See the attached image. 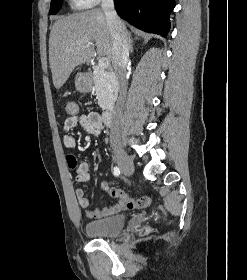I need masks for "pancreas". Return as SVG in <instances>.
<instances>
[{
    "label": "pancreas",
    "mask_w": 247,
    "mask_h": 280,
    "mask_svg": "<svg viewBox=\"0 0 247 280\" xmlns=\"http://www.w3.org/2000/svg\"><path fill=\"white\" fill-rule=\"evenodd\" d=\"M95 93L98 105L102 109L108 108L116 95V84L110 72L101 68L94 69Z\"/></svg>",
    "instance_id": "pancreas-1"
}]
</instances>
